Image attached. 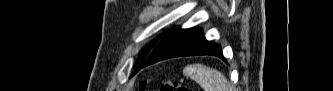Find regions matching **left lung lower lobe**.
Returning a JSON list of instances; mask_svg holds the SVG:
<instances>
[{
  "mask_svg": "<svg viewBox=\"0 0 333 91\" xmlns=\"http://www.w3.org/2000/svg\"><path fill=\"white\" fill-rule=\"evenodd\" d=\"M194 55H214L225 60L221 47L207 41L199 28H174L157 44L140 68L168 58Z\"/></svg>",
  "mask_w": 333,
  "mask_h": 91,
  "instance_id": "1",
  "label": "left lung lower lobe"
}]
</instances>
